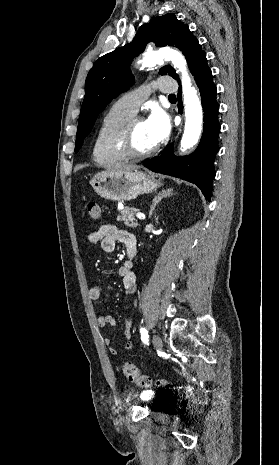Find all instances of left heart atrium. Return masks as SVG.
<instances>
[{
  "instance_id": "1",
  "label": "left heart atrium",
  "mask_w": 279,
  "mask_h": 465,
  "mask_svg": "<svg viewBox=\"0 0 279 465\" xmlns=\"http://www.w3.org/2000/svg\"><path fill=\"white\" fill-rule=\"evenodd\" d=\"M145 124L155 144L163 141L170 132L169 118L160 108L152 110Z\"/></svg>"
}]
</instances>
